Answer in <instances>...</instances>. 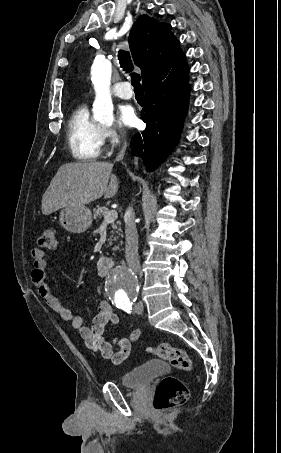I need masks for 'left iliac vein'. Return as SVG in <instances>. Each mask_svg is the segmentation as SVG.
Instances as JSON below:
<instances>
[{
  "instance_id": "4c4485c4",
  "label": "left iliac vein",
  "mask_w": 281,
  "mask_h": 453,
  "mask_svg": "<svg viewBox=\"0 0 281 453\" xmlns=\"http://www.w3.org/2000/svg\"><path fill=\"white\" fill-rule=\"evenodd\" d=\"M143 303L142 302H139L138 304L135 305V309L134 312H137V314H142V311L144 309V307L142 306Z\"/></svg>"
}]
</instances>
